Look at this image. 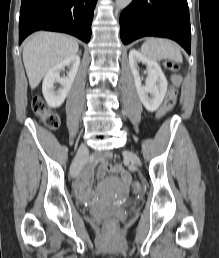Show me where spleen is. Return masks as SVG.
<instances>
[{
	"mask_svg": "<svg viewBox=\"0 0 219 258\" xmlns=\"http://www.w3.org/2000/svg\"><path fill=\"white\" fill-rule=\"evenodd\" d=\"M142 54L152 60L170 59L182 62L179 47L172 41L162 38H148L141 46Z\"/></svg>",
	"mask_w": 219,
	"mask_h": 258,
	"instance_id": "obj_1",
	"label": "spleen"
}]
</instances>
